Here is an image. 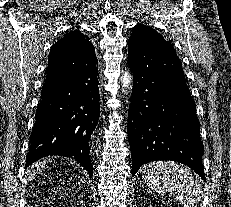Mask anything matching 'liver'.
Here are the masks:
<instances>
[{
	"mask_svg": "<svg viewBox=\"0 0 231 207\" xmlns=\"http://www.w3.org/2000/svg\"><path fill=\"white\" fill-rule=\"evenodd\" d=\"M42 167H43V166H42ZM36 168H37V170L39 169L38 166H36ZM40 169H41V168H40ZM40 169H39V170H40ZM29 174H30V176H33V175L35 174V171H34V172H30Z\"/></svg>",
	"mask_w": 231,
	"mask_h": 207,
	"instance_id": "obj_1",
	"label": "liver"
}]
</instances>
